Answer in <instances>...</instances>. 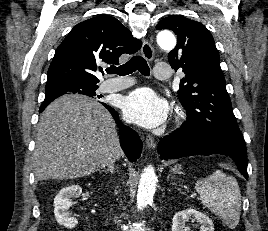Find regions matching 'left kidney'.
Masks as SVG:
<instances>
[{
  "mask_svg": "<svg viewBox=\"0 0 268 231\" xmlns=\"http://www.w3.org/2000/svg\"><path fill=\"white\" fill-rule=\"evenodd\" d=\"M190 219L197 220L201 224L200 231H214L212 220L205 214L192 208L179 211L173 216L172 231H189L190 228L186 223Z\"/></svg>",
  "mask_w": 268,
  "mask_h": 231,
  "instance_id": "left-kidney-1",
  "label": "left kidney"
}]
</instances>
